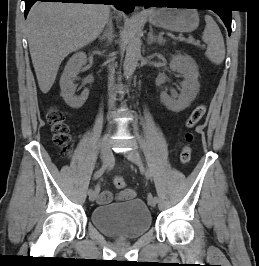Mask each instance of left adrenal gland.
<instances>
[{"mask_svg":"<svg viewBox=\"0 0 259 266\" xmlns=\"http://www.w3.org/2000/svg\"><path fill=\"white\" fill-rule=\"evenodd\" d=\"M164 38L162 36H155L153 34V29L152 27H150V31L148 33V39H147V43L150 45L152 43H159V44H163L164 43Z\"/></svg>","mask_w":259,"mask_h":266,"instance_id":"obj_1","label":"left adrenal gland"}]
</instances>
